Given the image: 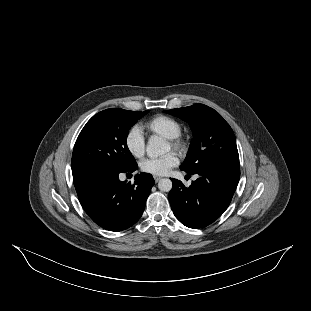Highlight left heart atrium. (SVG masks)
I'll use <instances>...</instances> for the list:
<instances>
[{
  "instance_id": "left-heart-atrium-1",
  "label": "left heart atrium",
  "mask_w": 311,
  "mask_h": 311,
  "mask_svg": "<svg viewBox=\"0 0 311 311\" xmlns=\"http://www.w3.org/2000/svg\"><path fill=\"white\" fill-rule=\"evenodd\" d=\"M180 162L177 153L169 152L158 158H149L140 163V169L143 173L163 177L170 173L171 169Z\"/></svg>"
}]
</instances>
